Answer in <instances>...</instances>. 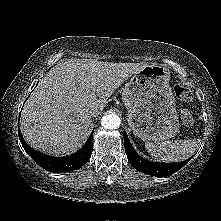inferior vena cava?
<instances>
[{
	"mask_svg": "<svg viewBox=\"0 0 221 221\" xmlns=\"http://www.w3.org/2000/svg\"><path fill=\"white\" fill-rule=\"evenodd\" d=\"M91 116H96L97 114H99V110L97 108H94L90 111Z\"/></svg>",
	"mask_w": 221,
	"mask_h": 221,
	"instance_id": "inferior-vena-cava-1",
	"label": "inferior vena cava"
}]
</instances>
